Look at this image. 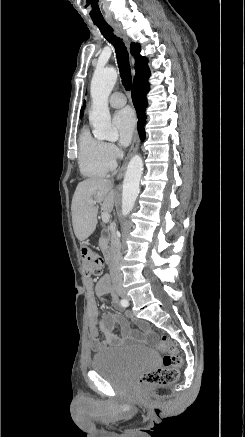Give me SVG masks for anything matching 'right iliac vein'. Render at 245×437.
<instances>
[{
  "label": "right iliac vein",
  "mask_w": 245,
  "mask_h": 437,
  "mask_svg": "<svg viewBox=\"0 0 245 437\" xmlns=\"http://www.w3.org/2000/svg\"><path fill=\"white\" fill-rule=\"evenodd\" d=\"M118 294H119L120 296H122V297H126V293H125L124 291H122V290H120V291L118 292Z\"/></svg>",
  "instance_id": "1"
}]
</instances>
